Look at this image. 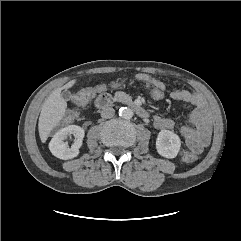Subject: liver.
Masks as SVG:
<instances>
[{"label":"liver","instance_id":"obj_1","mask_svg":"<svg viewBox=\"0 0 241 241\" xmlns=\"http://www.w3.org/2000/svg\"><path fill=\"white\" fill-rule=\"evenodd\" d=\"M76 80H71L55 89L44 101L39 117L38 130L41 141L46 142L51 131L60 123L66 113L67 103L61 95L63 89L71 88Z\"/></svg>","mask_w":241,"mask_h":241}]
</instances>
